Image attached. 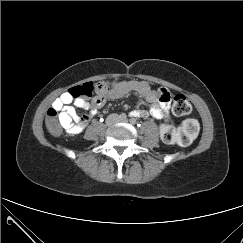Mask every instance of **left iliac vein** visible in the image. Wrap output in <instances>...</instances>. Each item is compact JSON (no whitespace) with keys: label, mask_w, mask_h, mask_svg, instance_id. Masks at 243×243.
I'll use <instances>...</instances> for the list:
<instances>
[{"label":"left iliac vein","mask_w":243,"mask_h":243,"mask_svg":"<svg viewBox=\"0 0 243 243\" xmlns=\"http://www.w3.org/2000/svg\"><path fill=\"white\" fill-rule=\"evenodd\" d=\"M121 122H127V119H120Z\"/></svg>","instance_id":"1"}]
</instances>
